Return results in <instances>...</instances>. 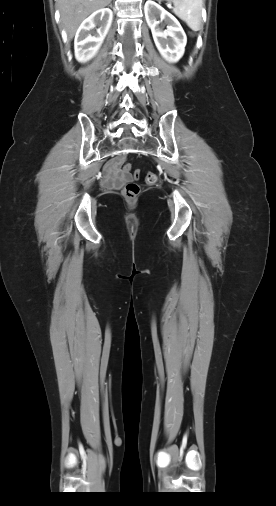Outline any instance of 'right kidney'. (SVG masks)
<instances>
[{"instance_id": "obj_1", "label": "right kidney", "mask_w": 276, "mask_h": 506, "mask_svg": "<svg viewBox=\"0 0 276 506\" xmlns=\"http://www.w3.org/2000/svg\"><path fill=\"white\" fill-rule=\"evenodd\" d=\"M112 18V10L102 8L81 23L74 40L75 56L79 62H87L96 55L108 33ZM96 26L99 28L94 32Z\"/></svg>"}]
</instances>
